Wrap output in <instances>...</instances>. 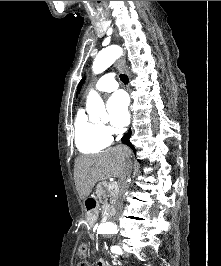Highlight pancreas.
<instances>
[{
    "instance_id": "pancreas-1",
    "label": "pancreas",
    "mask_w": 221,
    "mask_h": 266,
    "mask_svg": "<svg viewBox=\"0 0 221 266\" xmlns=\"http://www.w3.org/2000/svg\"><path fill=\"white\" fill-rule=\"evenodd\" d=\"M108 186H109V183L107 182L99 183L96 187V195L100 202L109 201L111 204V207H113V205L115 204L118 198L119 190L118 188L109 190Z\"/></svg>"
}]
</instances>
